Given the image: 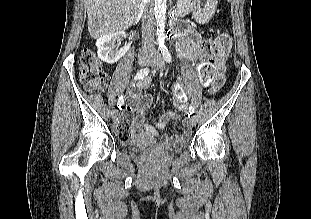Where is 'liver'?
Listing matches in <instances>:
<instances>
[{
	"label": "liver",
	"instance_id": "liver-1",
	"mask_svg": "<svg viewBox=\"0 0 311 219\" xmlns=\"http://www.w3.org/2000/svg\"><path fill=\"white\" fill-rule=\"evenodd\" d=\"M141 0H85L88 31L94 39L128 29L136 19Z\"/></svg>",
	"mask_w": 311,
	"mask_h": 219
}]
</instances>
